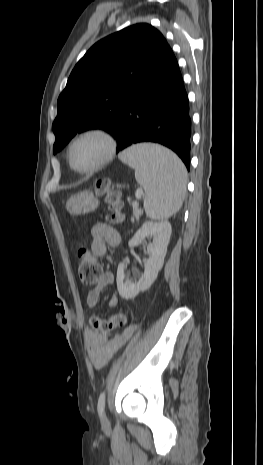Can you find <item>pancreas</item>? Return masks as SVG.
I'll use <instances>...</instances> for the list:
<instances>
[{
	"instance_id": "obj_1",
	"label": "pancreas",
	"mask_w": 263,
	"mask_h": 465,
	"mask_svg": "<svg viewBox=\"0 0 263 465\" xmlns=\"http://www.w3.org/2000/svg\"><path fill=\"white\" fill-rule=\"evenodd\" d=\"M142 213H143V210L141 208H138V206L133 207V216L131 218V221L134 222L135 219L138 220L139 217L142 215Z\"/></svg>"
}]
</instances>
